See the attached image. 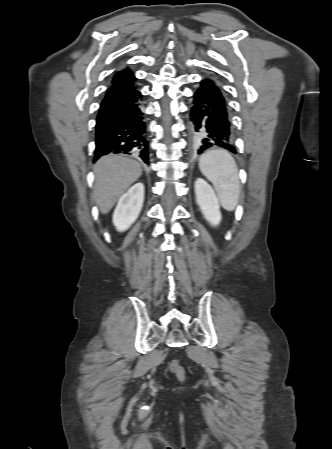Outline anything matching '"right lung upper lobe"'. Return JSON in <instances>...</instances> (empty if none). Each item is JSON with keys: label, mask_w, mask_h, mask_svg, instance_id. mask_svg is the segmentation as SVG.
I'll return each instance as SVG.
<instances>
[{"label": "right lung upper lobe", "mask_w": 332, "mask_h": 449, "mask_svg": "<svg viewBox=\"0 0 332 449\" xmlns=\"http://www.w3.org/2000/svg\"><path fill=\"white\" fill-rule=\"evenodd\" d=\"M135 79L134 74L128 68L117 72L106 95L124 94L136 90L134 86Z\"/></svg>", "instance_id": "right-lung-upper-lobe-1"}]
</instances>
